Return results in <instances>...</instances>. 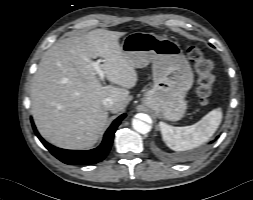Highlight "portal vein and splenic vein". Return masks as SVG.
Returning <instances> with one entry per match:
<instances>
[{"label":"portal vein and splenic vein","mask_w":253,"mask_h":200,"mask_svg":"<svg viewBox=\"0 0 253 200\" xmlns=\"http://www.w3.org/2000/svg\"><path fill=\"white\" fill-rule=\"evenodd\" d=\"M101 62H102L101 59L97 60L96 62H93V67L96 70L97 74L99 75V78L101 80H103L104 76H105V71L103 70L102 66L100 65Z\"/></svg>","instance_id":"obj_1"}]
</instances>
